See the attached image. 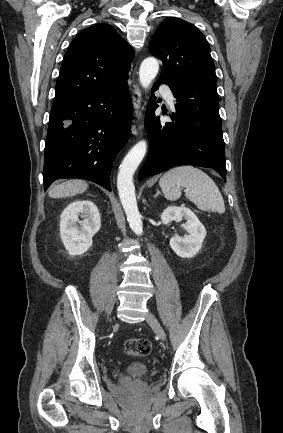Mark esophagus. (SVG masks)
<instances>
[{
  "instance_id": "34e87169",
  "label": "esophagus",
  "mask_w": 283,
  "mask_h": 433,
  "mask_svg": "<svg viewBox=\"0 0 283 433\" xmlns=\"http://www.w3.org/2000/svg\"><path fill=\"white\" fill-rule=\"evenodd\" d=\"M142 93L136 85L133 91V106L138 119L142 118Z\"/></svg>"
}]
</instances>
